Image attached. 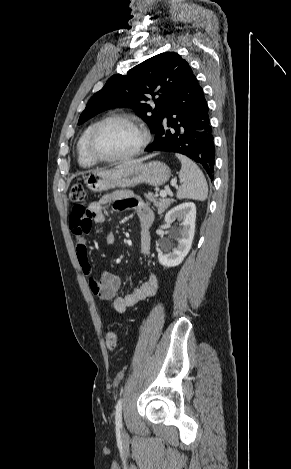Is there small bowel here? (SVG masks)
Masks as SVG:
<instances>
[{"label":"small bowel","mask_w":291,"mask_h":469,"mask_svg":"<svg viewBox=\"0 0 291 469\" xmlns=\"http://www.w3.org/2000/svg\"><path fill=\"white\" fill-rule=\"evenodd\" d=\"M113 203L119 210H135L140 226V252L147 256L150 252L151 236L149 229L153 223L154 215L149 206L129 191H116L103 196L101 199L89 204L87 209L79 211L74 208L69 217V226L76 241V255L82 272L87 277L91 292L101 300L112 301L113 309L117 313H124L129 307L138 302L152 297L158 290V279L155 275L149 274L145 280L130 293L122 296L118 295L121 286V279L118 275L105 271L101 278L92 275V268L88 255V243L85 234L89 233L94 224H103L106 221L104 209ZM105 243L112 245L115 243V234L109 231L105 237Z\"/></svg>","instance_id":"small-bowel-1"}]
</instances>
